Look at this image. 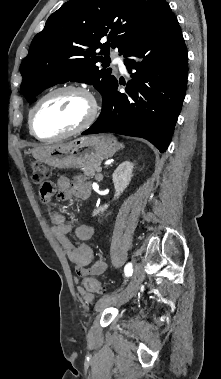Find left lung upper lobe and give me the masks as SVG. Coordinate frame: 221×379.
<instances>
[{"instance_id": "obj_1", "label": "left lung upper lobe", "mask_w": 221, "mask_h": 379, "mask_svg": "<svg viewBox=\"0 0 221 379\" xmlns=\"http://www.w3.org/2000/svg\"><path fill=\"white\" fill-rule=\"evenodd\" d=\"M164 2L71 0L63 4L34 37L22 61L23 95L35 102L46 88L67 81L92 84L103 95L116 78L110 68L96 63L107 67L110 48L124 54L154 24Z\"/></svg>"}]
</instances>
